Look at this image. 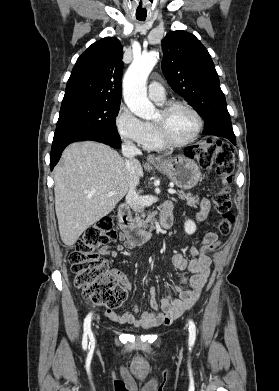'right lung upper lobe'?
Wrapping results in <instances>:
<instances>
[{
  "label": "right lung upper lobe",
  "mask_w": 279,
  "mask_h": 391,
  "mask_svg": "<svg viewBox=\"0 0 279 391\" xmlns=\"http://www.w3.org/2000/svg\"><path fill=\"white\" fill-rule=\"evenodd\" d=\"M123 48L105 37L78 58L67 82L61 109L93 102H121Z\"/></svg>",
  "instance_id": "right-lung-upper-lobe-1"
}]
</instances>
